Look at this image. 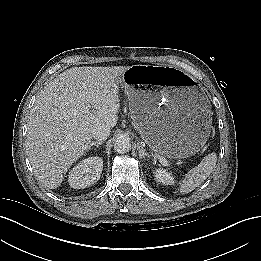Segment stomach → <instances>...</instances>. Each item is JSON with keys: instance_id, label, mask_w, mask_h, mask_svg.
<instances>
[{"instance_id": "obj_1", "label": "stomach", "mask_w": 261, "mask_h": 261, "mask_svg": "<svg viewBox=\"0 0 261 261\" xmlns=\"http://www.w3.org/2000/svg\"><path fill=\"white\" fill-rule=\"evenodd\" d=\"M147 74L171 78L153 91L137 89ZM121 82L134 122L153 151L168 158H187L203 147L210 135L211 111L191 78L173 68L134 65Z\"/></svg>"}]
</instances>
